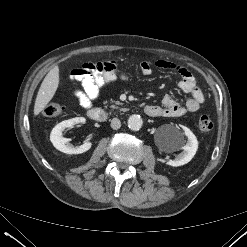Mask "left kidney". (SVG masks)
Wrapping results in <instances>:
<instances>
[{
	"mask_svg": "<svg viewBox=\"0 0 247 247\" xmlns=\"http://www.w3.org/2000/svg\"><path fill=\"white\" fill-rule=\"evenodd\" d=\"M184 136L187 137L186 144ZM169 147L172 150L182 149L183 151L174 159L167 162L168 165L173 167L182 166L191 161L198 149V141L196 136L187 127L182 130L174 128V131L168 136Z\"/></svg>",
	"mask_w": 247,
	"mask_h": 247,
	"instance_id": "5707ae66",
	"label": "left kidney"
}]
</instances>
